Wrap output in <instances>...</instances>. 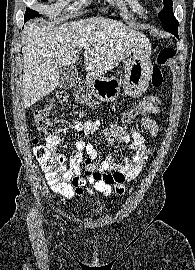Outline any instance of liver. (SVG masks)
Returning a JSON list of instances; mask_svg holds the SVG:
<instances>
[{
    "mask_svg": "<svg viewBox=\"0 0 195 270\" xmlns=\"http://www.w3.org/2000/svg\"><path fill=\"white\" fill-rule=\"evenodd\" d=\"M145 38L130 26L104 17L57 27L42 20L29 23L22 32L24 108L55 90L60 80L59 68L74 65L82 47L87 74L102 76L126 59Z\"/></svg>",
    "mask_w": 195,
    "mask_h": 270,
    "instance_id": "1",
    "label": "liver"
}]
</instances>
